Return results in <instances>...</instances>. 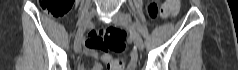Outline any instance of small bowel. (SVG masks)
<instances>
[{
  "label": "small bowel",
  "instance_id": "small-bowel-1",
  "mask_svg": "<svg viewBox=\"0 0 238 70\" xmlns=\"http://www.w3.org/2000/svg\"><path fill=\"white\" fill-rule=\"evenodd\" d=\"M98 49L108 50L106 48H103L99 44L98 37L92 35L85 41V52L86 54L92 56L95 61L92 63L90 68H86L84 65L81 66V70H102L103 65L101 61H109L108 55H101L98 51Z\"/></svg>",
  "mask_w": 238,
  "mask_h": 70
}]
</instances>
